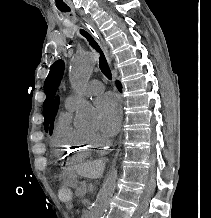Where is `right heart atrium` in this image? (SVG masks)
I'll list each match as a JSON object with an SVG mask.
<instances>
[{"instance_id":"d8ad5b80","label":"right heart atrium","mask_w":211,"mask_h":218,"mask_svg":"<svg viewBox=\"0 0 211 218\" xmlns=\"http://www.w3.org/2000/svg\"><path fill=\"white\" fill-rule=\"evenodd\" d=\"M91 138L95 139V140H100V141H105L104 139H102L99 135L97 134H90L89 135Z\"/></svg>"}]
</instances>
